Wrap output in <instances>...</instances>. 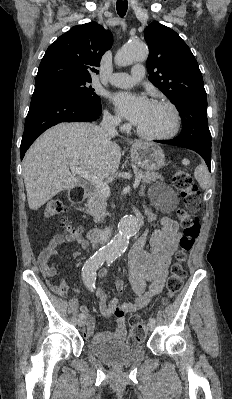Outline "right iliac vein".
I'll list each match as a JSON object with an SVG mask.
<instances>
[{
    "instance_id": "1",
    "label": "right iliac vein",
    "mask_w": 232,
    "mask_h": 399,
    "mask_svg": "<svg viewBox=\"0 0 232 399\" xmlns=\"http://www.w3.org/2000/svg\"><path fill=\"white\" fill-rule=\"evenodd\" d=\"M77 323H78L79 326H84L85 325V322H84L83 319H78Z\"/></svg>"
}]
</instances>
